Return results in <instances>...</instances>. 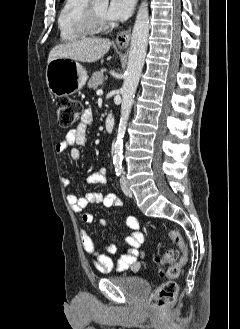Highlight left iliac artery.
I'll use <instances>...</instances> for the list:
<instances>
[{"instance_id": "obj_1", "label": "left iliac artery", "mask_w": 240, "mask_h": 329, "mask_svg": "<svg viewBox=\"0 0 240 329\" xmlns=\"http://www.w3.org/2000/svg\"><path fill=\"white\" fill-rule=\"evenodd\" d=\"M115 171H116L117 176L121 175V173H122V166L117 165L115 167Z\"/></svg>"}]
</instances>
